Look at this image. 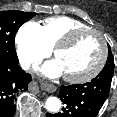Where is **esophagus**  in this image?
<instances>
[{
  "label": "esophagus",
  "instance_id": "1",
  "mask_svg": "<svg viewBox=\"0 0 117 117\" xmlns=\"http://www.w3.org/2000/svg\"><path fill=\"white\" fill-rule=\"evenodd\" d=\"M32 87L38 92L39 91L53 92L55 90V87L53 85L50 84L39 85L37 82H33Z\"/></svg>",
  "mask_w": 117,
  "mask_h": 117
}]
</instances>
